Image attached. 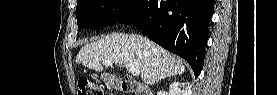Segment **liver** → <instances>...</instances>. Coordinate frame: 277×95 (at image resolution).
<instances>
[{
  "label": "liver",
  "mask_w": 277,
  "mask_h": 95,
  "mask_svg": "<svg viewBox=\"0 0 277 95\" xmlns=\"http://www.w3.org/2000/svg\"><path fill=\"white\" fill-rule=\"evenodd\" d=\"M111 61L117 65L133 64L141 73L145 84L185 71L182 60L150 39L136 34L115 33L84 45L76 57V63L101 72L102 64Z\"/></svg>",
  "instance_id": "liver-1"
}]
</instances>
